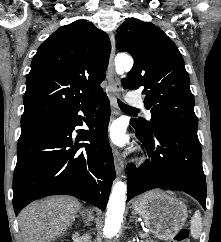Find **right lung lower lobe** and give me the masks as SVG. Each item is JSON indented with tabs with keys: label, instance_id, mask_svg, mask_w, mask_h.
Segmentation results:
<instances>
[{
	"label": "right lung lower lobe",
	"instance_id": "98d812e1",
	"mask_svg": "<svg viewBox=\"0 0 221 242\" xmlns=\"http://www.w3.org/2000/svg\"><path fill=\"white\" fill-rule=\"evenodd\" d=\"M79 111L88 115L89 130H77L75 136L74 127L85 120ZM109 117V99L102 91L66 111L21 123L13 177L16 215L30 202L56 194L72 195L105 209L115 178L107 139ZM87 140L90 144L78 143Z\"/></svg>",
	"mask_w": 221,
	"mask_h": 242
}]
</instances>
